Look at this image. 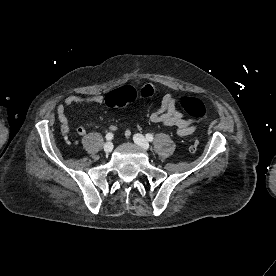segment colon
Here are the masks:
<instances>
[{"label":"colon","instance_id":"colon-1","mask_svg":"<svg viewBox=\"0 0 276 276\" xmlns=\"http://www.w3.org/2000/svg\"><path fill=\"white\" fill-rule=\"evenodd\" d=\"M139 94L144 98L152 97L156 94V89L152 85L146 84L141 87ZM136 97L137 91L130 86H125L117 91L109 93L106 101L110 107H119L133 102ZM179 103L182 109L194 119H201L204 117L205 107L199 99L185 96L180 98ZM198 146V141L193 140L189 144L188 149L191 153H195L198 150Z\"/></svg>","mask_w":276,"mask_h":276}]
</instances>
